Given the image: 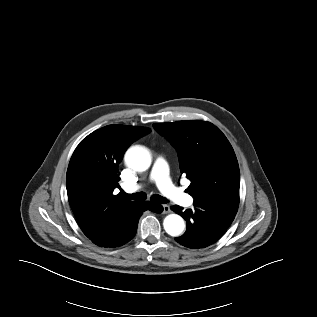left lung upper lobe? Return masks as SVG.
<instances>
[{
	"mask_svg": "<svg viewBox=\"0 0 317 317\" xmlns=\"http://www.w3.org/2000/svg\"><path fill=\"white\" fill-rule=\"evenodd\" d=\"M176 147L181 174L191 180L194 201L238 207L240 171L225 135L206 121L153 124Z\"/></svg>",
	"mask_w": 317,
	"mask_h": 317,
	"instance_id": "5c2ea615",
	"label": "left lung upper lobe"
}]
</instances>
